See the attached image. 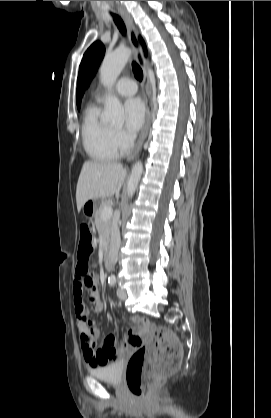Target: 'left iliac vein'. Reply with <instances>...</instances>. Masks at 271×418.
Returning a JSON list of instances; mask_svg holds the SVG:
<instances>
[{
  "label": "left iliac vein",
  "instance_id": "left-iliac-vein-1",
  "mask_svg": "<svg viewBox=\"0 0 271 418\" xmlns=\"http://www.w3.org/2000/svg\"><path fill=\"white\" fill-rule=\"evenodd\" d=\"M117 295H118L119 299H121V300L127 299V293L123 289H120V288L117 289Z\"/></svg>",
  "mask_w": 271,
  "mask_h": 418
}]
</instances>
